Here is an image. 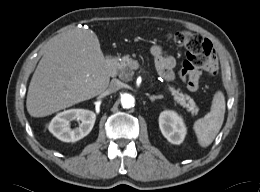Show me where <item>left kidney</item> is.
Masks as SVG:
<instances>
[{
  "label": "left kidney",
  "mask_w": 260,
  "mask_h": 192,
  "mask_svg": "<svg viewBox=\"0 0 260 192\" xmlns=\"http://www.w3.org/2000/svg\"><path fill=\"white\" fill-rule=\"evenodd\" d=\"M159 128L163 136L172 144H181L186 135L183 119L174 111L165 110L160 113Z\"/></svg>",
  "instance_id": "obj_1"
}]
</instances>
